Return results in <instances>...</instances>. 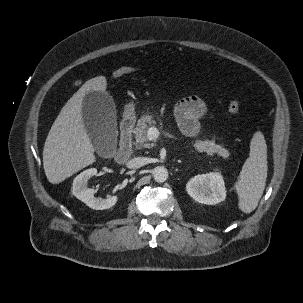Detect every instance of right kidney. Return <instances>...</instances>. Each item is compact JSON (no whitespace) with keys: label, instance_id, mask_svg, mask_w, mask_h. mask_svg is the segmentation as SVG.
<instances>
[{"label":"right kidney","instance_id":"right-kidney-1","mask_svg":"<svg viewBox=\"0 0 303 303\" xmlns=\"http://www.w3.org/2000/svg\"><path fill=\"white\" fill-rule=\"evenodd\" d=\"M97 174V169L91 168L81 172L73 181L72 194L84 202L87 206L95 210H104L113 207L117 202V196L106 199L96 198L94 189L87 187L88 180Z\"/></svg>","mask_w":303,"mask_h":303}]
</instances>
